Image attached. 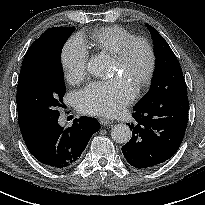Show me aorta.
Returning a JSON list of instances; mask_svg holds the SVG:
<instances>
[{
  "instance_id": "1",
  "label": "aorta",
  "mask_w": 205,
  "mask_h": 205,
  "mask_svg": "<svg viewBox=\"0 0 205 205\" xmlns=\"http://www.w3.org/2000/svg\"><path fill=\"white\" fill-rule=\"evenodd\" d=\"M88 72L96 77L107 76L108 62L103 56L92 57L88 62ZM132 136L130 128L125 124L114 125L111 131L112 139L117 143H127Z\"/></svg>"
}]
</instances>
